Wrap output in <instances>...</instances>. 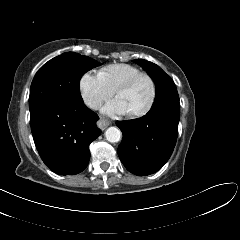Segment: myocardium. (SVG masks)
I'll use <instances>...</instances> for the list:
<instances>
[{"instance_id":"1","label":"myocardium","mask_w":240,"mask_h":240,"mask_svg":"<svg viewBox=\"0 0 240 240\" xmlns=\"http://www.w3.org/2000/svg\"><path fill=\"white\" fill-rule=\"evenodd\" d=\"M143 77L147 78L151 83V89H152L151 96L144 108H142L139 111L129 112V115L132 117H142L151 110L156 98V91H157L156 82L154 78L148 73L141 72L129 78L128 80L124 81L123 83H121L115 90V94L118 95L120 92L129 89L136 81H138L140 78H143Z\"/></svg>"}]
</instances>
